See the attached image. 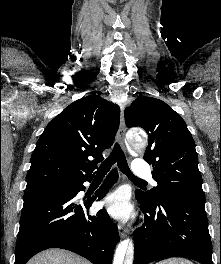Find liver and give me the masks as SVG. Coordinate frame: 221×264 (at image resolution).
Masks as SVG:
<instances>
[{"label": "liver", "mask_w": 221, "mask_h": 264, "mask_svg": "<svg viewBox=\"0 0 221 264\" xmlns=\"http://www.w3.org/2000/svg\"><path fill=\"white\" fill-rule=\"evenodd\" d=\"M27 264H91V263L71 252L61 249H49L32 257Z\"/></svg>", "instance_id": "obj_1"}]
</instances>
